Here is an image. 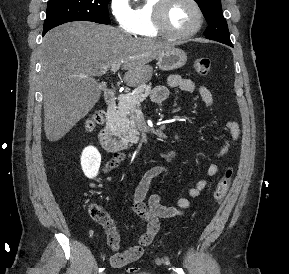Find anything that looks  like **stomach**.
Here are the masks:
<instances>
[{
  "instance_id": "stomach-1",
  "label": "stomach",
  "mask_w": 289,
  "mask_h": 274,
  "mask_svg": "<svg viewBox=\"0 0 289 274\" xmlns=\"http://www.w3.org/2000/svg\"><path fill=\"white\" fill-rule=\"evenodd\" d=\"M157 65L163 71L182 67L187 61V54L179 48H173L158 57Z\"/></svg>"
}]
</instances>
